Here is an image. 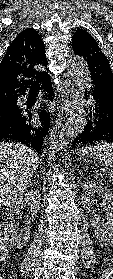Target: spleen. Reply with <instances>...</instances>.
Wrapping results in <instances>:
<instances>
[{"mask_svg": "<svg viewBox=\"0 0 113 279\" xmlns=\"http://www.w3.org/2000/svg\"><path fill=\"white\" fill-rule=\"evenodd\" d=\"M85 156H90L93 159H99L103 163L109 175L113 178V143H97L90 146H85L81 150Z\"/></svg>", "mask_w": 113, "mask_h": 279, "instance_id": "spleen-1", "label": "spleen"}]
</instances>
